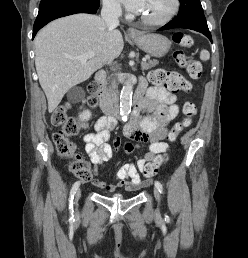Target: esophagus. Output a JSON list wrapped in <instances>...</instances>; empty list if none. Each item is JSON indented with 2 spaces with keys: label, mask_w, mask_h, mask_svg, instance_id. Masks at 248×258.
Returning <instances> with one entry per match:
<instances>
[{
  "label": "esophagus",
  "mask_w": 248,
  "mask_h": 258,
  "mask_svg": "<svg viewBox=\"0 0 248 258\" xmlns=\"http://www.w3.org/2000/svg\"><path fill=\"white\" fill-rule=\"evenodd\" d=\"M127 33L129 35H138L139 34L138 30H136L135 28H132V27L128 28Z\"/></svg>",
  "instance_id": "1"
}]
</instances>
